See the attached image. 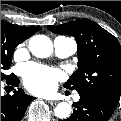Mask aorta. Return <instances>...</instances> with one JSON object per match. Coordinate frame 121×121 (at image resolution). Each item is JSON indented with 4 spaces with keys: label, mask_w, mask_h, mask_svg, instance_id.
<instances>
[{
    "label": "aorta",
    "mask_w": 121,
    "mask_h": 121,
    "mask_svg": "<svg viewBox=\"0 0 121 121\" xmlns=\"http://www.w3.org/2000/svg\"><path fill=\"white\" fill-rule=\"evenodd\" d=\"M29 50L31 53L39 58H46L52 54V41L45 35H35L29 41ZM71 106L62 102L55 108V115L60 119H66L70 116Z\"/></svg>",
    "instance_id": "762f6f07"
}]
</instances>
